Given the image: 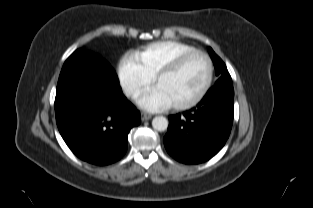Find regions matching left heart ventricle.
I'll list each match as a JSON object with an SVG mask.
<instances>
[{
    "mask_svg": "<svg viewBox=\"0 0 313 208\" xmlns=\"http://www.w3.org/2000/svg\"><path fill=\"white\" fill-rule=\"evenodd\" d=\"M208 73L204 57L196 55L176 72L163 77L156 86L169 98L172 105L195 98L205 84Z\"/></svg>",
    "mask_w": 313,
    "mask_h": 208,
    "instance_id": "obj_1",
    "label": "left heart ventricle"
}]
</instances>
